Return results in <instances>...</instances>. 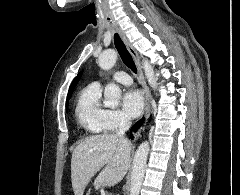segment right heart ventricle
I'll use <instances>...</instances> for the list:
<instances>
[{"label":"right heart ventricle","instance_id":"1","mask_svg":"<svg viewBox=\"0 0 240 195\" xmlns=\"http://www.w3.org/2000/svg\"><path fill=\"white\" fill-rule=\"evenodd\" d=\"M105 104L101 100V87L92 83L86 87L76 105V117L81 128L92 136H105L110 131Z\"/></svg>","mask_w":240,"mask_h":195}]
</instances>
